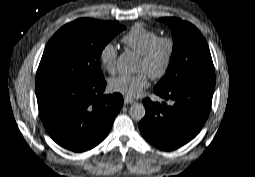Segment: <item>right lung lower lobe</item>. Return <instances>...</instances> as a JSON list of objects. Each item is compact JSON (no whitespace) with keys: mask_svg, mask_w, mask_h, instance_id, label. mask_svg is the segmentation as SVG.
Wrapping results in <instances>:
<instances>
[{"mask_svg":"<svg viewBox=\"0 0 255 177\" xmlns=\"http://www.w3.org/2000/svg\"><path fill=\"white\" fill-rule=\"evenodd\" d=\"M105 87L104 78L90 84L48 81L36 85L40 118L57 144L83 152L106 138L123 97L103 95Z\"/></svg>","mask_w":255,"mask_h":177,"instance_id":"obj_1","label":"right lung lower lobe"}]
</instances>
